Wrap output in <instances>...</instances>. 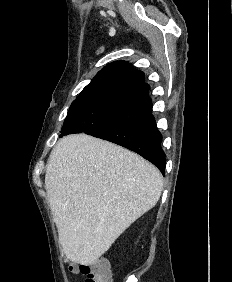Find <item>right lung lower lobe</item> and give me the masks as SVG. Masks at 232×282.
I'll use <instances>...</instances> for the list:
<instances>
[{"instance_id":"98d812e1","label":"right lung lower lobe","mask_w":232,"mask_h":282,"mask_svg":"<svg viewBox=\"0 0 232 282\" xmlns=\"http://www.w3.org/2000/svg\"><path fill=\"white\" fill-rule=\"evenodd\" d=\"M88 135L101 138L130 149L159 168L165 175V153L162 135L152 114L137 121L111 129H100Z\"/></svg>"}]
</instances>
